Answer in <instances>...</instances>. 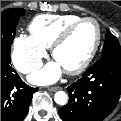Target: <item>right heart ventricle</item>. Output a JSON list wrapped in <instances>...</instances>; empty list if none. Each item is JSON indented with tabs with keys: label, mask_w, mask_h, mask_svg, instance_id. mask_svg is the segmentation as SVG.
<instances>
[{
	"label": "right heart ventricle",
	"mask_w": 121,
	"mask_h": 121,
	"mask_svg": "<svg viewBox=\"0 0 121 121\" xmlns=\"http://www.w3.org/2000/svg\"><path fill=\"white\" fill-rule=\"evenodd\" d=\"M80 18L72 14L39 15L31 21L29 31L41 45L48 48L68 25Z\"/></svg>",
	"instance_id": "1"
}]
</instances>
